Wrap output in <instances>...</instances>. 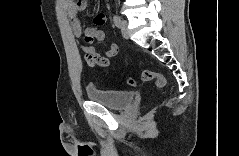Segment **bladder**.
Segmentation results:
<instances>
[{
    "label": "bladder",
    "instance_id": "31cf9c89",
    "mask_svg": "<svg viewBox=\"0 0 239 156\" xmlns=\"http://www.w3.org/2000/svg\"><path fill=\"white\" fill-rule=\"evenodd\" d=\"M86 97L89 101L102 104L108 109L122 111L133 103L135 93L133 91H117L88 86Z\"/></svg>",
    "mask_w": 239,
    "mask_h": 156
}]
</instances>
